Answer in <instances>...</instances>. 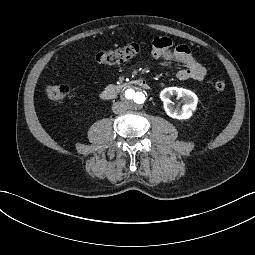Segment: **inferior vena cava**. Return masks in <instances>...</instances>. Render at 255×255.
Wrapping results in <instances>:
<instances>
[{
	"mask_svg": "<svg viewBox=\"0 0 255 255\" xmlns=\"http://www.w3.org/2000/svg\"><path fill=\"white\" fill-rule=\"evenodd\" d=\"M112 111L115 114H122L124 111H126V106L123 102L117 101L113 104Z\"/></svg>",
	"mask_w": 255,
	"mask_h": 255,
	"instance_id": "obj_1",
	"label": "inferior vena cava"
}]
</instances>
